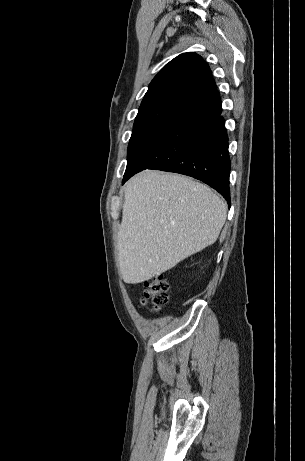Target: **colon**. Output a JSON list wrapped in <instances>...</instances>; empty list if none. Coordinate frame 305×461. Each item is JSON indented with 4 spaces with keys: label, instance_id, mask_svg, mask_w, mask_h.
Wrapping results in <instances>:
<instances>
[{
    "label": "colon",
    "instance_id": "colon-1",
    "mask_svg": "<svg viewBox=\"0 0 305 461\" xmlns=\"http://www.w3.org/2000/svg\"><path fill=\"white\" fill-rule=\"evenodd\" d=\"M141 304L150 303L154 311L164 308L169 302L168 283L162 275H156L144 282Z\"/></svg>",
    "mask_w": 305,
    "mask_h": 461
}]
</instances>
